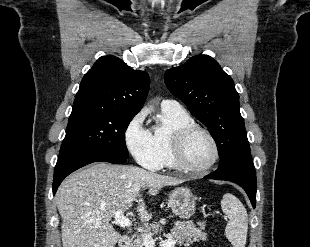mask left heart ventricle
<instances>
[{
    "mask_svg": "<svg viewBox=\"0 0 310 247\" xmlns=\"http://www.w3.org/2000/svg\"><path fill=\"white\" fill-rule=\"evenodd\" d=\"M213 156L212 144L204 134L196 133L189 138L186 144V159L191 167H204L211 162Z\"/></svg>",
    "mask_w": 310,
    "mask_h": 247,
    "instance_id": "1",
    "label": "left heart ventricle"
}]
</instances>
